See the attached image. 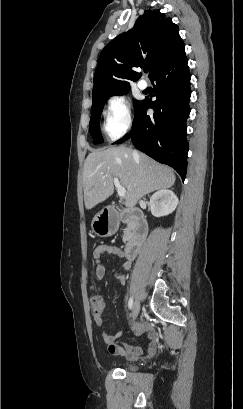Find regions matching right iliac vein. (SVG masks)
I'll use <instances>...</instances> for the list:
<instances>
[{
	"mask_svg": "<svg viewBox=\"0 0 243 409\" xmlns=\"http://www.w3.org/2000/svg\"><path fill=\"white\" fill-rule=\"evenodd\" d=\"M139 311H140V304H139V301H136V302L134 303V305H133V308H132V318H133V321L136 320V318H137V316H138V314H139Z\"/></svg>",
	"mask_w": 243,
	"mask_h": 409,
	"instance_id": "63e3f726",
	"label": "right iliac vein"
}]
</instances>
